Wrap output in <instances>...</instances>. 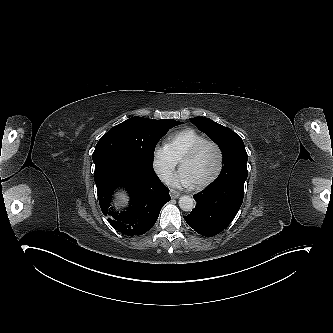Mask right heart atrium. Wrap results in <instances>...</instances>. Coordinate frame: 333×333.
<instances>
[{
  "label": "right heart atrium",
  "mask_w": 333,
  "mask_h": 333,
  "mask_svg": "<svg viewBox=\"0 0 333 333\" xmlns=\"http://www.w3.org/2000/svg\"><path fill=\"white\" fill-rule=\"evenodd\" d=\"M178 161L172 155L168 147L157 146L152 155V166L155 172L163 180H168L174 172Z\"/></svg>",
  "instance_id": "1"
}]
</instances>
